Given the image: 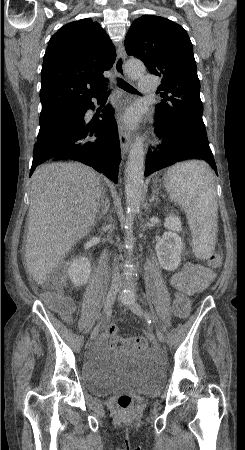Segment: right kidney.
Here are the masks:
<instances>
[{"instance_id":"right-kidney-1","label":"right kidney","mask_w":245,"mask_h":450,"mask_svg":"<svg viewBox=\"0 0 245 450\" xmlns=\"http://www.w3.org/2000/svg\"><path fill=\"white\" fill-rule=\"evenodd\" d=\"M91 273V264L88 258L73 259L69 265L68 274L75 286H83L88 282Z\"/></svg>"}]
</instances>
